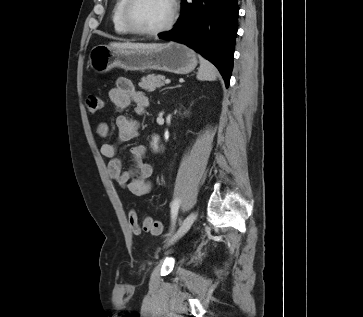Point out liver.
Returning a JSON list of instances; mask_svg holds the SVG:
<instances>
[{
    "label": "liver",
    "mask_w": 363,
    "mask_h": 317,
    "mask_svg": "<svg viewBox=\"0 0 363 317\" xmlns=\"http://www.w3.org/2000/svg\"><path fill=\"white\" fill-rule=\"evenodd\" d=\"M161 46L158 43H131V42H111L109 47L115 49H153Z\"/></svg>",
    "instance_id": "obj_1"
}]
</instances>
